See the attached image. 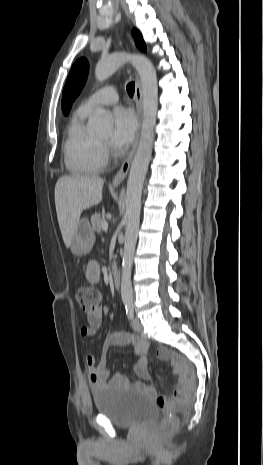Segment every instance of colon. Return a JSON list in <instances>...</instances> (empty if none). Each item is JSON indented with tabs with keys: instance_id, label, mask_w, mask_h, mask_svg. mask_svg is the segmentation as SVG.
<instances>
[{
	"instance_id": "5ec220e1",
	"label": "colon",
	"mask_w": 263,
	"mask_h": 465,
	"mask_svg": "<svg viewBox=\"0 0 263 465\" xmlns=\"http://www.w3.org/2000/svg\"><path fill=\"white\" fill-rule=\"evenodd\" d=\"M77 300L84 312L91 313L98 307L100 293L91 286H82L77 291ZM187 388L188 378L182 376L180 386L172 397L158 398L157 403L159 407L166 413L159 427L161 434H168L176 428L178 418L175 414V408L185 399Z\"/></svg>"
}]
</instances>
